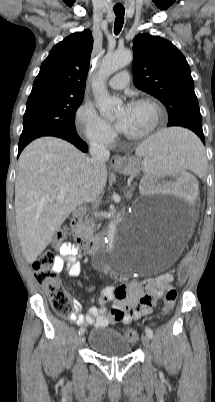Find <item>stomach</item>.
<instances>
[{"mask_svg": "<svg viewBox=\"0 0 215 402\" xmlns=\"http://www.w3.org/2000/svg\"><path fill=\"white\" fill-rule=\"evenodd\" d=\"M115 171L127 176H135L139 174L141 170L140 161L135 157H126L123 163L114 168Z\"/></svg>", "mask_w": 215, "mask_h": 402, "instance_id": "0dacf381", "label": "stomach"}]
</instances>
